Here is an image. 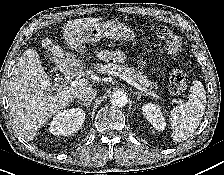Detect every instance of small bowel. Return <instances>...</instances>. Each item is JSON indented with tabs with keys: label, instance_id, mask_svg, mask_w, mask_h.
<instances>
[{
	"label": "small bowel",
	"instance_id": "c3829d8e",
	"mask_svg": "<svg viewBox=\"0 0 224 175\" xmlns=\"http://www.w3.org/2000/svg\"><path fill=\"white\" fill-rule=\"evenodd\" d=\"M115 56H116V58H118L120 61H122V60L124 59V56H123L120 52L116 53Z\"/></svg>",
	"mask_w": 224,
	"mask_h": 175
}]
</instances>
